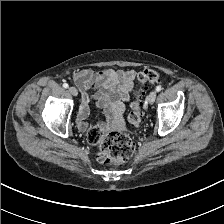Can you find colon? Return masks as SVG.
<instances>
[{
    "instance_id": "colon-1",
    "label": "colon",
    "mask_w": 224,
    "mask_h": 224,
    "mask_svg": "<svg viewBox=\"0 0 224 224\" xmlns=\"http://www.w3.org/2000/svg\"><path fill=\"white\" fill-rule=\"evenodd\" d=\"M161 75L153 69H145L137 75V88L131 103L128 121L132 126L141 123L144 110V91L149 84L160 82ZM87 140L98 146L95 153L97 162L106 165H120L127 162L135 151L132 138L119 132L105 134L98 126H91L87 131Z\"/></svg>"
}]
</instances>
